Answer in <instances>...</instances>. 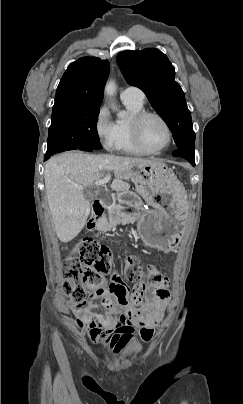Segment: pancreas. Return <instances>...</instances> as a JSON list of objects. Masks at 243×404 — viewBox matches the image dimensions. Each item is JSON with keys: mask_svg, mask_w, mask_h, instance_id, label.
<instances>
[{"mask_svg": "<svg viewBox=\"0 0 243 404\" xmlns=\"http://www.w3.org/2000/svg\"><path fill=\"white\" fill-rule=\"evenodd\" d=\"M108 212L104 214V218H101V220H98L96 226L97 230H100V232H109L111 228H116L118 224H122L123 226H126L127 224H134L136 221V214L135 213H130L127 214V218L125 219V216H122L123 206H119V204H115V206H110V208H107Z\"/></svg>", "mask_w": 243, "mask_h": 404, "instance_id": "pancreas-1", "label": "pancreas"}]
</instances>
